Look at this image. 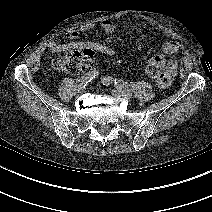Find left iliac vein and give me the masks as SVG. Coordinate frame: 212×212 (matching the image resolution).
<instances>
[{
    "label": "left iliac vein",
    "mask_w": 212,
    "mask_h": 212,
    "mask_svg": "<svg viewBox=\"0 0 212 212\" xmlns=\"http://www.w3.org/2000/svg\"><path fill=\"white\" fill-rule=\"evenodd\" d=\"M112 95L117 98L125 99L126 101H130L131 99V94H126L119 90H112Z\"/></svg>",
    "instance_id": "obj_1"
}]
</instances>
